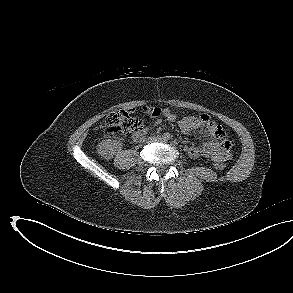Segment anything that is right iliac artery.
Wrapping results in <instances>:
<instances>
[{"instance_id": "82829eb1", "label": "right iliac artery", "mask_w": 293, "mask_h": 293, "mask_svg": "<svg viewBox=\"0 0 293 293\" xmlns=\"http://www.w3.org/2000/svg\"><path fill=\"white\" fill-rule=\"evenodd\" d=\"M163 139H164V140H169V139H170V134H169V133H165V134L163 135Z\"/></svg>"}]
</instances>
